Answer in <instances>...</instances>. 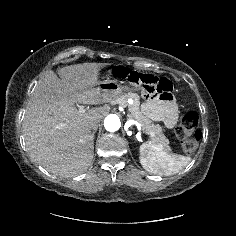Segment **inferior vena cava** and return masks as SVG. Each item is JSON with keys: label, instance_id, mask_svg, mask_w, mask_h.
Here are the masks:
<instances>
[{"label": "inferior vena cava", "instance_id": "1", "mask_svg": "<svg viewBox=\"0 0 236 236\" xmlns=\"http://www.w3.org/2000/svg\"><path fill=\"white\" fill-rule=\"evenodd\" d=\"M88 126L91 130H96L100 126V122L98 120H91Z\"/></svg>", "mask_w": 236, "mask_h": 236}]
</instances>
